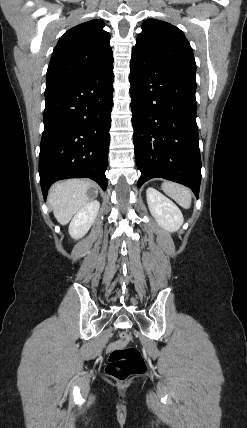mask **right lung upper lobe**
Returning a JSON list of instances; mask_svg holds the SVG:
<instances>
[{
	"label": "right lung upper lobe",
	"mask_w": 247,
	"mask_h": 428,
	"mask_svg": "<svg viewBox=\"0 0 247 428\" xmlns=\"http://www.w3.org/2000/svg\"><path fill=\"white\" fill-rule=\"evenodd\" d=\"M103 27L94 19L66 31L54 48L46 84L82 76L111 60L110 35Z\"/></svg>",
	"instance_id": "obj_1"
}]
</instances>
